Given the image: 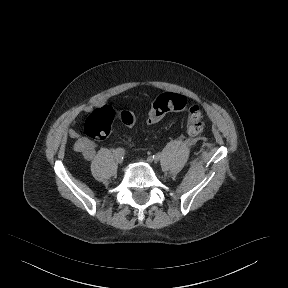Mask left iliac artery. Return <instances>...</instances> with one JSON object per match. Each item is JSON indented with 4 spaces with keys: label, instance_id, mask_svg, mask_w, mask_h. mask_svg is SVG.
<instances>
[{
    "label": "left iliac artery",
    "instance_id": "44dca946",
    "mask_svg": "<svg viewBox=\"0 0 288 288\" xmlns=\"http://www.w3.org/2000/svg\"><path fill=\"white\" fill-rule=\"evenodd\" d=\"M160 158V156L158 154H155L152 156V160H154L155 162L158 161Z\"/></svg>",
    "mask_w": 288,
    "mask_h": 288
}]
</instances>
